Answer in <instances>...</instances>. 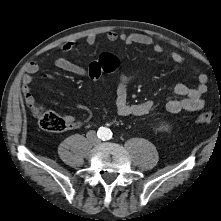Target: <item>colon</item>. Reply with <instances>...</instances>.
Wrapping results in <instances>:
<instances>
[{"instance_id":"1","label":"colon","mask_w":221,"mask_h":221,"mask_svg":"<svg viewBox=\"0 0 221 221\" xmlns=\"http://www.w3.org/2000/svg\"><path fill=\"white\" fill-rule=\"evenodd\" d=\"M119 66L120 60L117 56L105 53L97 61L90 63V77L97 79L102 73L113 72ZM30 109L43 130L58 133L68 129V123L65 118L57 113L47 110L35 102L30 106ZM214 120L215 114L211 109H203L197 116V121L200 124H210Z\"/></svg>"}]
</instances>
